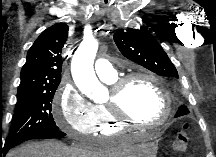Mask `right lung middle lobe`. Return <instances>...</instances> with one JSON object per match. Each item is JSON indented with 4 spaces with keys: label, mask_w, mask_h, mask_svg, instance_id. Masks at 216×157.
Segmentation results:
<instances>
[{
    "label": "right lung middle lobe",
    "mask_w": 216,
    "mask_h": 157,
    "mask_svg": "<svg viewBox=\"0 0 216 157\" xmlns=\"http://www.w3.org/2000/svg\"><path fill=\"white\" fill-rule=\"evenodd\" d=\"M56 89L32 91L17 97L11 128L4 146L21 143L38 134L59 131L51 113Z\"/></svg>",
    "instance_id": "obj_1"
}]
</instances>
